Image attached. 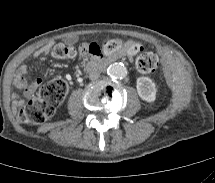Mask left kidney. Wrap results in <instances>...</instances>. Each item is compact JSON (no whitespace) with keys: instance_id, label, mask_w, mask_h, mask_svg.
Segmentation results:
<instances>
[{"instance_id":"left-kidney-1","label":"left kidney","mask_w":215,"mask_h":183,"mask_svg":"<svg viewBox=\"0 0 215 183\" xmlns=\"http://www.w3.org/2000/svg\"><path fill=\"white\" fill-rule=\"evenodd\" d=\"M137 92L140 98L147 102H153L156 99V85L148 77H139L137 79Z\"/></svg>"}]
</instances>
